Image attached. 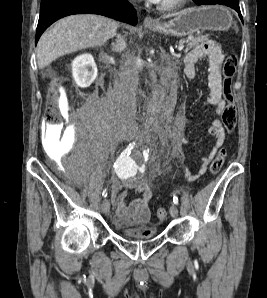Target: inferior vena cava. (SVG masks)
Segmentation results:
<instances>
[{"label":"inferior vena cava","mask_w":267,"mask_h":298,"mask_svg":"<svg viewBox=\"0 0 267 298\" xmlns=\"http://www.w3.org/2000/svg\"><path fill=\"white\" fill-rule=\"evenodd\" d=\"M138 80L136 58L127 54L120 66V81L116 87V114L123 121L135 116Z\"/></svg>","instance_id":"obj_1"}]
</instances>
